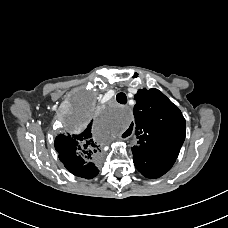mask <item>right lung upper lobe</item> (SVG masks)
I'll return each instance as SVG.
<instances>
[{
  "instance_id": "cb5924a9",
  "label": "right lung upper lobe",
  "mask_w": 228,
  "mask_h": 228,
  "mask_svg": "<svg viewBox=\"0 0 228 228\" xmlns=\"http://www.w3.org/2000/svg\"><path fill=\"white\" fill-rule=\"evenodd\" d=\"M91 125L92 121L81 133L58 135L55 139V149L61 162L67 169L73 167L77 176L87 179L98 173L92 161L100 151V146L92 135Z\"/></svg>"
}]
</instances>
